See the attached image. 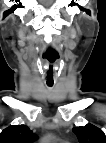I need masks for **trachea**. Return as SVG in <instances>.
I'll use <instances>...</instances> for the list:
<instances>
[{"label":"trachea","mask_w":106,"mask_h":143,"mask_svg":"<svg viewBox=\"0 0 106 143\" xmlns=\"http://www.w3.org/2000/svg\"><path fill=\"white\" fill-rule=\"evenodd\" d=\"M47 85H48L49 87H52V86H53V83H47Z\"/></svg>","instance_id":"obj_1"}]
</instances>
